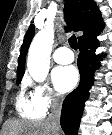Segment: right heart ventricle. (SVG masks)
Returning <instances> with one entry per match:
<instances>
[{"instance_id":"1","label":"right heart ventricle","mask_w":112,"mask_h":135,"mask_svg":"<svg viewBox=\"0 0 112 135\" xmlns=\"http://www.w3.org/2000/svg\"><path fill=\"white\" fill-rule=\"evenodd\" d=\"M17 112L26 119L40 120L44 117V113L40 111L33 103L30 95L22 88L16 97Z\"/></svg>"}]
</instances>
